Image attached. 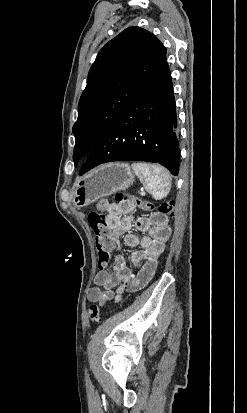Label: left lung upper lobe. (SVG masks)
I'll use <instances>...</instances> for the list:
<instances>
[{
	"instance_id": "obj_1",
	"label": "left lung upper lobe",
	"mask_w": 247,
	"mask_h": 413,
	"mask_svg": "<svg viewBox=\"0 0 247 413\" xmlns=\"http://www.w3.org/2000/svg\"><path fill=\"white\" fill-rule=\"evenodd\" d=\"M166 60V48L150 32L129 27L109 41L93 63L73 126V160L88 154Z\"/></svg>"
}]
</instances>
